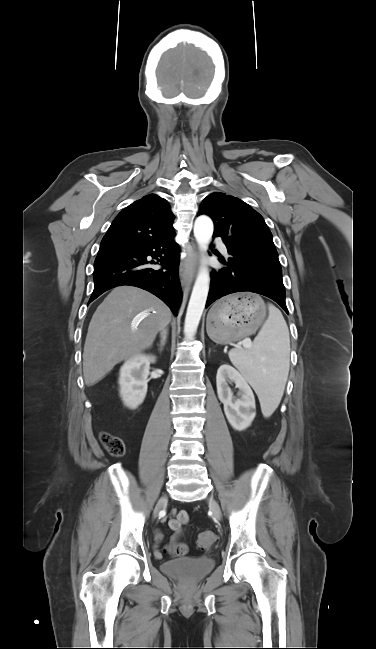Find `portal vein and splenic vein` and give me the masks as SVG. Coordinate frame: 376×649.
<instances>
[{"mask_svg":"<svg viewBox=\"0 0 376 649\" xmlns=\"http://www.w3.org/2000/svg\"><path fill=\"white\" fill-rule=\"evenodd\" d=\"M242 345H243L244 347H246V348H249V347L251 346V341H250V339H249V338H246L245 340H243Z\"/></svg>","mask_w":376,"mask_h":649,"instance_id":"18ae733b","label":"portal vein and splenic vein"}]
</instances>
